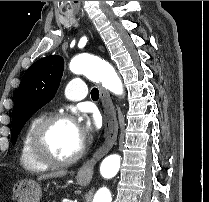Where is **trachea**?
Returning <instances> with one entry per match:
<instances>
[{"label":"trachea","mask_w":209,"mask_h":202,"mask_svg":"<svg viewBox=\"0 0 209 202\" xmlns=\"http://www.w3.org/2000/svg\"><path fill=\"white\" fill-rule=\"evenodd\" d=\"M91 98L93 101H97L99 99V91L97 88H93L91 90Z\"/></svg>","instance_id":"3493384b"}]
</instances>
